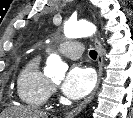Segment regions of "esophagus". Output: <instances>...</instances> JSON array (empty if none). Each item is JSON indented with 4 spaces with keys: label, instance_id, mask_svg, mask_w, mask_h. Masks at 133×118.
<instances>
[{
    "label": "esophagus",
    "instance_id": "34e87169",
    "mask_svg": "<svg viewBox=\"0 0 133 118\" xmlns=\"http://www.w3.org/2000/svg\"><path fill=\"white\" fill-rule=\"evenodd\" d=\"M94 45L97 49V62H98V83L96 85V88L95 90L92 92L91 95H89L81 104H79L75 109H73L71 112H69L67 115L68 117H74L75 115H77L82 109H84L87 104L92 100V98L94 97L98 87H99V84H100V80H101V77H102V73H103V48H102V45L100 43V41L95 38L94 40Z\"/></svg>",
    "mask_w": 133,
    "mask_h": 118
}]
</instances>
